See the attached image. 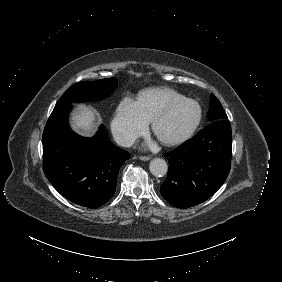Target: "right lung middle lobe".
I'll list each match as a JSON object with an SVG mask.
<instances>
[{"label":"right lung middle lobe","mask_w":282,"mask_h":282,"mask_svg":"<svg viewBox=\"0 0 282 282\" xmlns=\"http://www.w3.org/2000/svg\"><path fill=\"white\" fill-rule=\"evenodd\" d=\"M116 78L79 82L68 88L55 107L72 102L96 101L108 97L117 87Z\"/></svg>","instance_id":"1"}]
</instances>
